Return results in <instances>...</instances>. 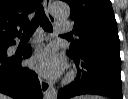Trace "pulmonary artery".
<instances>
[{
    "instance_id": "pulmonary-artery-1",
    "label": "pulmonary artery",
    "mask_w": 128,
    "mask_h": 99,
    "mask_svg": "<svg viewBox=\"0 0 128 99\" xmlns=\"http://www.w3.org/2000/svg\"><path fill=\"white\" fill-rule=\"evenodd\" d=\"M55 27H56V30L59 32H66V31L71 30V24L68 22H64V21H57L55 23ZM42 40H43V36H37V37L33 38L32 42L36 43V42H40Z\"/></svg>"
}]
</instances>
